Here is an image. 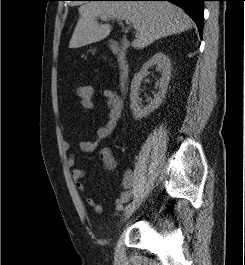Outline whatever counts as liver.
<instances>
[{
  "label": "liver",
  "instance_id": "liver-1",
  "mask_svg": "<svg viewBox=\"0 0 245 265\" xmlns=\"http://www.w3.org/2000/svg\"><path fill=\"white\" fill-rule=\"evenodd\" d=\"M79 15L69 48L99 42L110 34L111 26L99 25L97 17L130 21L136 30V39L132 42L135 49H143L158 39L193 26V21L181 8L166 1H91L79 8Z\"/></svg>",
  "mask_w": 245,
  "mask_h": 265
}]
</instances>
